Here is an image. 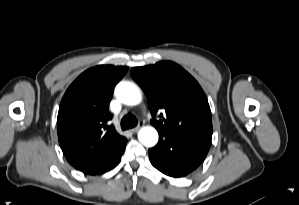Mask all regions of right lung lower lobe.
<instances>
[{"label": "right lung lower lobe", "instance_id": "98d812e1", "mask_svg": "<svg viewBox=\"0 0 299 205\" xmlns=\"http://www.w3.org/2000/svg\"><path fill=\"white\" fill-rule=\"evenodd\" d=\"M126 147V146H125ZM125 149V148H124ZM124 151V150H123ZM123 153V152H122ZM122 153L117 157V159L104 171V172H102V173H105L106 171H108V170H110V169H112V168H114L118 163H119V161L121 160V156H122ZM102 173H100V174H102Z\"/></svg>", "mask_w": 299, "mask_h": 205}]
</instances>
